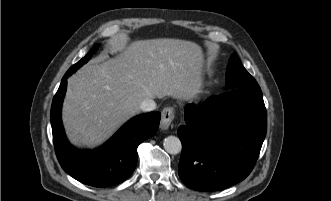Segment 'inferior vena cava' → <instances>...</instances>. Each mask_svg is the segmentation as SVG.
Listing matches in <instances>:
<instances>
[{"mask_svg":"<svg viewBox=\"0 0 331 201\" xmlns=\"http://www.w3.org/2000/svg\"><path fill=\"white\" fill-rule=\"evenodd\" d=\"M140 109L144 112L153 111L154 109H156V103L153 99L147 98L142 101Z\"/></svg>","mask_w":331,"mask_h":201,"instance_id":"1","label":"inferior vena cava"}]
</instances>
